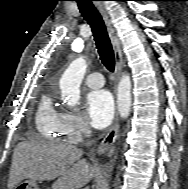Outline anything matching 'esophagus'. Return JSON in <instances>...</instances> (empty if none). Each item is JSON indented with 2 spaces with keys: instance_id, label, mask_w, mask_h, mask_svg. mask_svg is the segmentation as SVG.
<instances>
[{
  "instance_id": "obj_1",
  "label": "esophagus",
  "mask_w": 188,
  "mask_h": 189,
  "mask_svg": "<svg viewBox=\"0 0 188 189\" xmlns=\"http://www.w3.org/2000/svg\"><path fill=\"white\" fill-rule=\"evenodd\" d=\"M96 7L98 8V10L100 11L105 24L107 26L111 41H112V45H113V49H114V54H115V61H116V69H115V83L118 81L121 71H122V66H123V58H122V52H121V48L119 45V42L116 39V36L114 34V30L111 26V22L109 20V17L103 7V5L99 2L95 3ZM118 131H119V117H118V113L116 112L115 114V119L114 122L111 126V128L109 129V131L106 133L105 137L103 138L102 142L100 143L99 147H98V154H103L106 151H108L113 144L115 143L117 136H118Z\"/></svg>"
}]
</instances>
